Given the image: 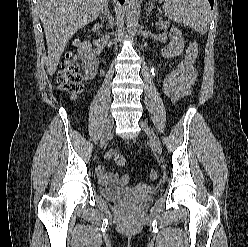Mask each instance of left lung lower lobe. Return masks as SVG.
Masks as SVG:
<instances>
[{
	"label": "left lung lower lobe",
	"mask_w": 248,
	"mask_h": 247,
	"mask_svg": "<svg viewBox=\"0 0 248 247\" xmlns=\"http://www.w3.org/2000/svg\"><path fill=\"white\" fill-rule=\"evenodd\" d=\"M208 1L210 3L211 7L213 8V2H214V0H208Z\"/></svg>",
	"instance_id": "obj_1"
}]
</instances>
